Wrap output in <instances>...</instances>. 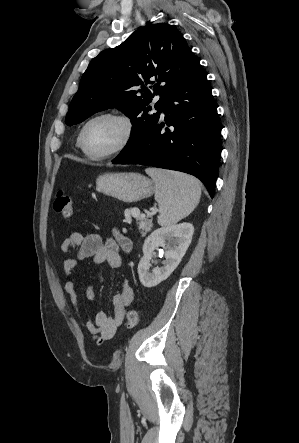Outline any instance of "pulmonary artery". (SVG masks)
<instances>
[{
  "label": "pulmonary artery",
  "instance_id": "pulmonary-artery-1",
  "mask_svg": "<svg viewBox=\"0 0 299 443\" xmlns=\"http://www.w3.org/2000/svg\"><path fill=\"white\" fill-rule=\"evenodd\" d=\"M155 100H156V101L159 100V96L155 97Z\"/></svg>",
  "mask_w": 299,
  "mask_h": 443
}]
</instances>
